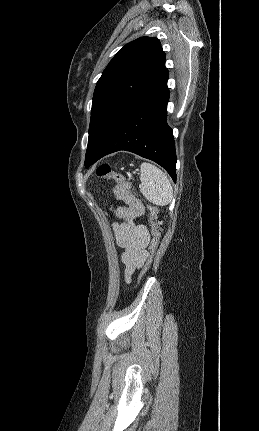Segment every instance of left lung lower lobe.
I'll return each instance as SVG.
<instances>
[{
    "label": "left lung lower lobe",
    "mask_w": 259,
    "mask_h": 431,
    "mask_svg": "<svg viewBox=\"0 0 259 431\" xmlns=\"http://www.w3.org/2000/svg\"><path fill=\"white\" fill-rule=\"evenodd\" d=\"M167 80L168 75L121 118L86 168L105 155L126 150L158 163L176 182L175 143L166 120Z\"/></svg>",
    "instance_id": "1"
}]
</instances>
